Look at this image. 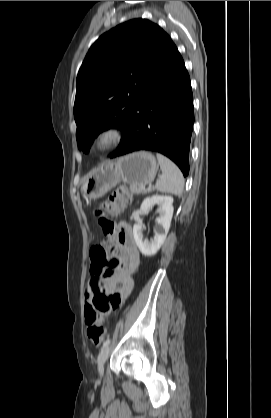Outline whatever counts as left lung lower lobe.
<instances>
[{
    "label": "left lung lower lobe",
    "instance_id": "0a47b994",
    "mask_svg": "<svg viewBox=\"0 0 271 418\" xmlns=\"http://www.w3.org/2000/svg\"><path fill=\"white\" fill-rule=\"evenodd\" d=\"M194 124L190 77L174 43L140 94L128 119L119 149L111 158L138 150L164 154L183 175L189 174V149Z\"/></svg>",
    "mask_w": 271,
    "mask_h": 418
}]
</instances>
